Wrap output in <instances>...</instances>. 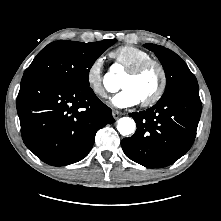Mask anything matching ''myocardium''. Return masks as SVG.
<instances>
[{
    "instance_id": "1",
    "label": "myocardium",
    "mask_w": 221,
    "mask_h": 221,
    "mask_svg": "<svg viewBox=\"0 0 221 221\" xmlns=\"http://www.w3.org/2000/svg\"><path fill=\"white\" fill-rule=\"evenodd\" d=\"M150 66H155L159 71V84L155 92L148 98L141 101L142 106H152L156 104L164 95L167 88V73L164 65L153 58L140 61L133 66L126 69L125 74L130 76H136L146 70Z\"/></svg>"
}]
</instances>
